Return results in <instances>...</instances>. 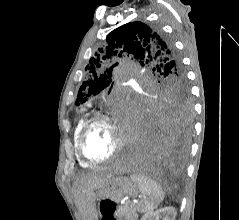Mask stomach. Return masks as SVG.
<instances>
[{"mask_svg": "<svg viewBox=\"0 0 239 220\" xmlns=\"http://www.w3.org/2000/svg\"><path fill=\"white\" fill-rule=\"evenodd\" d=\"M139 194L138 185L129 178H115L112 176L110 181L95 193L98 200L97 213L98 220H121L120 202L123 197H136Z\"/></svg>", "mask_w": 239, "mask_h": 220, "instance_id": "obj_1", "label": "stomach"}]
</instances>
